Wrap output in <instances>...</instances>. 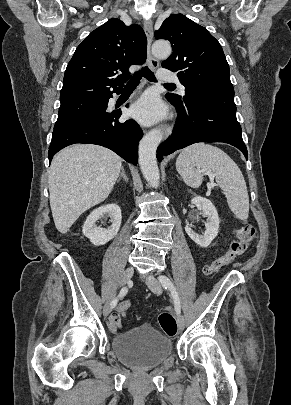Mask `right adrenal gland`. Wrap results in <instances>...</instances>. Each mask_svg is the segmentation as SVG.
Segmentation results:
<instances>
[{"label":"right adrenal gland","instance_id":"2a0ac1e0","mask_svg":"<svg viewBox=\"0 0 291 405\" xmlns=\"http://www.w3.org/2000/svg\"><path fill=\"white\" fill-rule=\"evenodd\" d=\"M121 178H124V180L126 181V182H128V178H127V176H126V173H125V170H124V167L122 166V168H121V174H120V176H119V178H118V182L121 180Z\"/></svg>","mask_w":291,"mask_h":405}]
</instances>
